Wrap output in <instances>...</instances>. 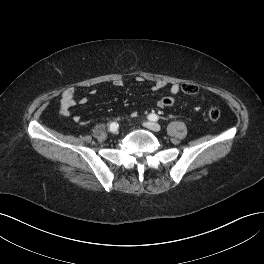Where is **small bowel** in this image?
<instances>
[{
	"label": "small bowel",
	"mask_w": 264,
	"mask_h": 264,
	"mask_svg": "<svg viewBox=\"0 0 264 264\" xmlns=\"http://www.w3.org/2000/svg\"><path fill=\"white\" fill-rule=\"evenodd\" d=\"M138 82H142L144 79L142 77H137L136 79ZM113 85L115 87L121 88L124 85V82L121 79H116L113 81ZM167 83L163 80H157L152 85L153 91H159L163 89ZM179 85L176 83H173L170 85V91L172 94H177L179 92ZM92 94L95 93V91L91 92ZM86 97H81L77 100L76 98V91L74 88H68L66 89L61 96V102H60V113L64 117H70L71 116V109L78 103L80 104H86L87 103ZM158 107L162 108V106L159 104V101L157 103ZM72 120L74 123L81 124L83 123V120L80 116H73Z\"/></svg>",
	"instance_id": "1"
}]
</instances>
